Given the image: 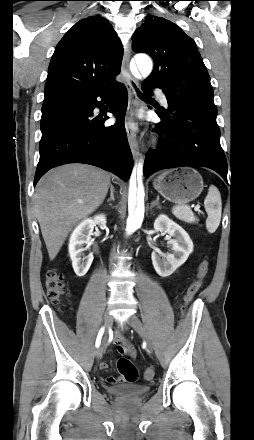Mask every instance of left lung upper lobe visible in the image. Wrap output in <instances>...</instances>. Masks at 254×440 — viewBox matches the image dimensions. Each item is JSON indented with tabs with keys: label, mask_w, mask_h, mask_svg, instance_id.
<instances>
[{
	"label": "left lung upper lobe",
	"mask_w": 254,
	"mask_h": 440,
	"mask_svg": "<svg viewBox=\"0 0 254 440\" xmlns=\"http://www.w3.org/2000/svg\"><path fill=\"white\" fill-rule=\"evenodd\" d=\"M135 52L149 54L154 69L144 81L161 88L168 101L195 103L217 112L210 77L192 38L169 20L148 18L132 36Z\"/></svg>",
	"instance_id": "left-lung-upper-lobe-1"
}]
</instances>
